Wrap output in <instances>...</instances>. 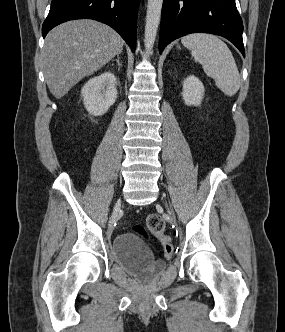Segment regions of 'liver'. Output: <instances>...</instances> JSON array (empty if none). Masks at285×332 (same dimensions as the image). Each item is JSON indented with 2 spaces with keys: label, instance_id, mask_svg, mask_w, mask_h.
Returning a JSON list of instances; mask_svg holds the SVG:
<instances>
[{
  "label": "liver",
  "instance_id": "6515ba94",
  "mask_svg": "<svg viewBox=\"0 0 285 332\" xmlns=\"http://www.w3.org/2000/svg\"><path fill=\"white\" fill-rule=\"evenodd\" d=\"M123 43L111 27L88 19L52 29L43 48L44 76L52 95L62 98L81 79L120 54Z\"/></svg>",
  "mask_w": 285,
  "mask_h": 332
}]
</instances>
